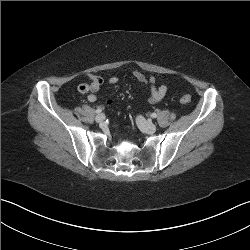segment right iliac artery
<instances>
[{
  "label": "right iliac artery",
  "mask_w": 250,
  "mask_h": 250,
  "mask_svg": "<svg viewBox=\"0 0 250 250\" xmlns=\"http://www.w3.org/2000/svg\"><path fill=\"white\" fill-rule=\"evenodd\" d=\"M102 112V109L101 108H98L97 110H96V113H101Z\"/></svg>",
  "instance_id": "1"
}]
</instances>
